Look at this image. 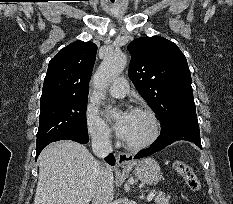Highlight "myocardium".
Listing matches in <instances>:
<instances>
[{
    "label": "myocardium",
    "mask_w": 233,
    "mask_h": 204,
    "mask_svg": "<svg viewBox=\"0 0 233 204\" xmlns=\"http://www.w3.org/2000/svg\"><path fill=\"white\" fill-rule=\"evenodd\" d=\"M131 112H140V113L145 114L149 118L150 123H151V133L144 141L139 142V143H130L126 140H123L124 145L126 146V148L132 151L144 150L150 147L151 145H153L160 136L159 119L157 115L155 114V112L146 106L133 107Z\"/></svg>",
    "instance_id": "myocardium-1"
}]
</instances>
